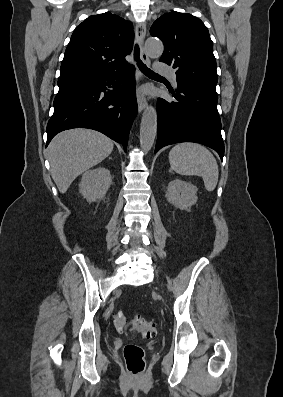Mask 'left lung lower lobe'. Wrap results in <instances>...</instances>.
Here are the masks:
<instances>
[{
    "instance_id": "0a47b994",
    "label": "left lung lower lobe",
    "mask_w": 283,
    "mask_h": 397,
    "mask_svg": "<svg viewBox=\"0 0 283 397\" xmlns=\"http://www.w3.org/2000/svg\"><path fill=\"white\" fill-rule=\"evenodd\" d=\"M176 101L157 100L158 136L155 152L179 142H197L224 156L217 96L184 85L170 91Z\"/></svg>"
}]
</instances>
